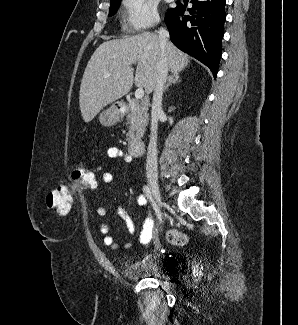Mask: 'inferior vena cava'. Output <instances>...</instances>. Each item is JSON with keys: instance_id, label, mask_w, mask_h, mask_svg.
<instances>
[{"instance_id": "1", "label": "inferior vena cava", "mask_w": 298, "mask_h": 325, "mask_svg": "<svg viewBox=\"0 0 298 325\" xmlns=\"http://www.w3.org/2000/svg\"><path fill=\"white\" fill-rule=\"evenodd\" d=\"M160 38L161 48H165V42L169 38L170 34L166 28H159L157 30ZM168 78V64L165 50H162L161 58L158 66V76L153 92L152 108H151V134L150 142L148 144V152L146 158V177L148 181H155L158 177L157 171V130H158V118L160 112H162V98L164 84Z\"/></svg>"}]
</instances>
